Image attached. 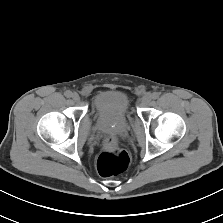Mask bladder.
<instances>
[{"label":"bladder","mask_w":223,"mask_h":223,"mask_svg":"<svg viewBox=\"0 0 223 223\" xmlns=\"http://www.w3.org/2000/svg\"><path fill=\"white\" fill-rule=\"evenodd\" d=\"M93 109L101 119L120 121L130 113V98L122 90H103L94 97Z\"/></svg>","instance_id":"31cf9c89"}]
</instances>
